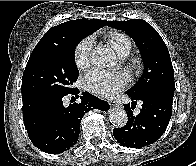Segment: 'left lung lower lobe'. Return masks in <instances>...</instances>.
<instances>
[{
    "instance_id": "1",
    "label": "left lung lower lobe",
    "mask_w": 196,
    "mask_h": 166,
    "mask_svg": "<svg viewBox=\"0 0 196 166\" xmlns=\"http://www.w3.org/2000/svg\"><path fill=\"white\" fill-rule=\"evenodd\" d=\"M131 99V106L130 103L124 105L128 122L122 128H115L113 135L123 146L140 148L154 143L164 133L171 118L173 96L153 92ZM137 100L143 104L140 113L134 116Z\"/></svg>"
}]
</instances>
